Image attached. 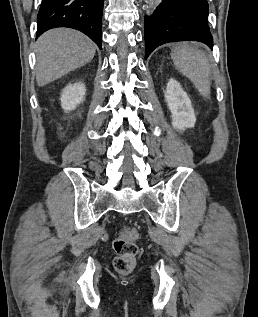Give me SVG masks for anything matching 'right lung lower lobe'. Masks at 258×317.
Returning <instances> with one entry per match:
<instances>
[{"label": "right lung lower lobe", "mask_w": 258, "mask_h": 317, "mask_svg": "<svg viewBox=\"0 0 258 317\" xmlns=\"http://www.w3.org/2000/svg\"><path fill=\"white\" fill-rule=\"evenodd\" d=\"M104 0H42L37 16V38L56 27L77 29L101 49Z\"/></svg>", "instance_id": "1"}]
</instances>
